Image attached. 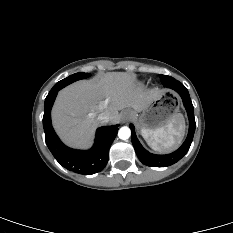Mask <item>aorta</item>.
<instances>
[{
    "label": "aorta",
    "mask_w": 233,
    "mask_h": 233,
    "mask_svg": "<svg viewBox=\"0 0 233 233\" xmlns=\"http://www.w3.org/2000/svg\"><path fill=\"white\" fill-rule=\"evenodd\" d=\"M118 136L122 140H126L131 136V130L127 126H123L119 129Z\"/></svg>",
    "instance_id": "aorta-1"
}]
</instances>
